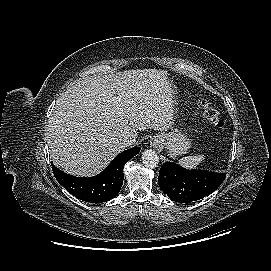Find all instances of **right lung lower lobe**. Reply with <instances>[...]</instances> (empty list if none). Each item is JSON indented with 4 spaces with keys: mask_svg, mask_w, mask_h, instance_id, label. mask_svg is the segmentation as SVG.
I'll return each instance as SVG.
<instances>
[{
    "mask_svg": "<svg viewBox=\"0 0 271 271\" xmlns=\"http://www.w3.org/2000/svg\"><path fill=\"white\" fill-rule=\"evenodd\" d=\"M140 152L133 147L117 155L107 168L93 177H76L64 173L52 164L56 180L76 198L90 202H106L114 198L123 185V168L126 162Z\"/></svg>",
    "mask_w": 271,
    "mask_h": 271,
    "instance_id": "right-lung-lower-lobe-1",
    "label": "right lung lower lobe"
}]
</instances>
